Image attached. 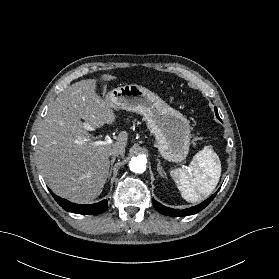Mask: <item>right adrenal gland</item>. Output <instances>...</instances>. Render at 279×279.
Wrapping results in <instances>:
<instances>
[{
	"label": "right adrenal gland",
	"instance_id": "right-adrenal-gland-1",
	"mask_svg": "<svg viewBox=\"0 0 279 279\" xmlns=\"http://www.w3.org/2000/svg\"><path fill=\"white\" fill-rule=\"evenodd\" d=\"M114 161H115V157H113L112 160L110 161L111 167H110V170H109L108 177L111 176V173H112V166H113V164H114Z\"/></svg>",
	"mask_w": 279,
	"mask_h": 279
}]
</instances>
